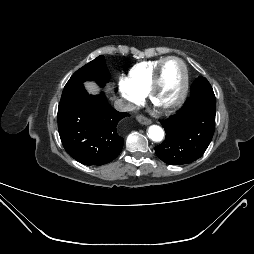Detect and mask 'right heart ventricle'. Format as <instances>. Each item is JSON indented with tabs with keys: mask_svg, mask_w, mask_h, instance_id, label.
<instances>
[{
	"mask_svg": "<svg viewBox=\"0 0 254 254\" xmlns=\"http://www.w3.org/2000/svg\"><path fill=\"white\" fill-rule=\"evenodd\" d=\"M164 58L144 61L134 65L128 75L132 86L142 95L146 94L151 84L155 69Z\"/></svg>",
	"mask_w": 254,
	"mask_h": 254,
	"instance_id": "right-heart-ventricle-1",
	"label": "right heart ventricle"
}]
</instances>
